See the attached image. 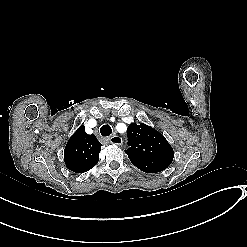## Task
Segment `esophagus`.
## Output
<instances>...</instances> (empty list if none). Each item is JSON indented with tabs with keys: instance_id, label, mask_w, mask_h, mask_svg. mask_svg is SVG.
I'll return each instance as SVG.
<instances>
[{
	"instance_id": "obj_1",
	"label": "esophagus",
	"mask_w": 247,
	"mask_h": 247,
	"mask_svg": "<svg viewBox=\"0 0 247 247\" xmlns=\"http://www.w3.org/2000/svg\"><path fill=\"white\" fill-rule=\"evenodd\" d=\"M109 141L111 144H114V145H121L123 142L122 138L119 136H113L109 139Z\"/></svg>"
}]
</instances>
